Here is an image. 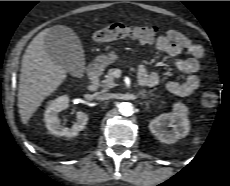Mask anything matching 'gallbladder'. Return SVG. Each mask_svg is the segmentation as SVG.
I'll return each mask as SVG.
<instances>
[{"mask_svg":"<svg viewBox=\"0 0 230 186\" xmlns=\"http://www.w3.org/2000/svg\"><path fill=\"white\" fill-rule=\"evenodd\" d=\"M49 56L73 76H81L85 59L81 42L73 30L65 26L49 29L44 40Z\"/></svg>","mask_w":230,"mask_h":186,"instance_id":"obj_1","label":"gallbladder"}]
</instances>
